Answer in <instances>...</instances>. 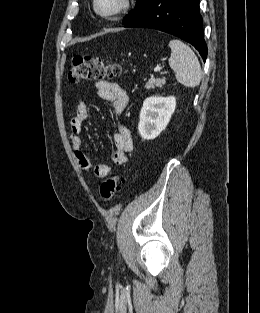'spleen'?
Here are the masks:
<instances>
[{
	"label": "spleen",
	"instance_id": "obj_1",
	"mask_svg": "<svg viewBox=\"0 0 260 313\" xmlns=\"http://www.w3.org/2000/svg\"><path fill=\"white\" fill-rule=\"evenodd\" d=\"M171 56L169 65L179 83L194 88L200 84L202 71L199 60L192 49L178 39L169 41Z\"/></svg>",
	"mask_w": 260,
	"mask_h": 313
}]
</instances>
